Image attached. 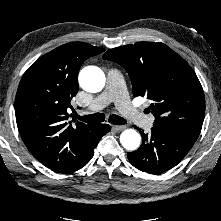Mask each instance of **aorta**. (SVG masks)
<instances>
[{
    "label": "aorta",
    "instance_id": "aorta-1",
    "mask_svg": "<svg viewBox=\"0 0 221 221\" xmlns=\"http://www.w3.org/2000/svg\"><path fill=\"white\" fill-rule=\"evenodd\" d=\"M103 71L96 66H87L79 73L81 88L90 93L100 92L105 86ZM140 134L134 129H126L120 135V143L127 150H136L140 146Z\"/></svg>",
    "mask_w": 221,
    "mask_h": 221
}]
</instances>
